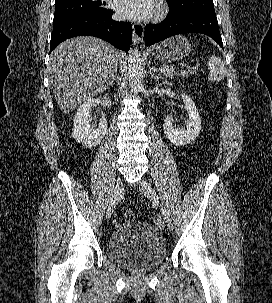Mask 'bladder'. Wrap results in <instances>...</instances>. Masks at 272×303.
I'll use <instances>...</instances> for the list:
<instances>
[{
	"instance_id": "1",
	"label": "bladder",
	"mask_w": 272,
	"mask_h": 303,
	"mask_svg": "<svg viewBox=\"0 0 272 303\" xmlns=\"http://www.w3.org/2000/svg\"><path fill=\"white\" fill-rule=\"evenodd\" d=\"M107 258L134 271H146L160 265L166 257L161 232L152 224L131 220L122 224L107 239Z\"/></svg>"
}]
</instances>
